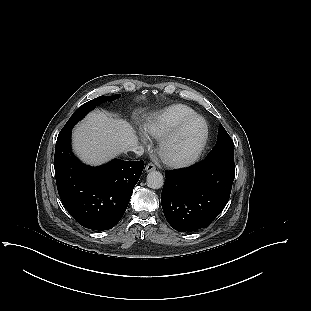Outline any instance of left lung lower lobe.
Listing matches in <instances>:
<instances>
[{
    "label": "left lung lower lobe",
    "mask_w": 311,
    "mask_h": 311,
    "mask_svg": "<svg viewBox=\"0 0 311 311\" xmlns=\"http://www.w3.org/2000/svg\"><path fill=\"white\" fill-rule=\"evenodd\" d=\"M235 176L234 161L205 159L180 172H166L161 203L168 223L177 231L204 228L229 200Z\"/></svg>",
    "instance_id": "obj_1"
}]
</instances>
